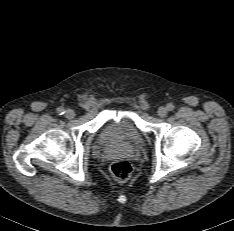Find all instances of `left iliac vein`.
<instances>
[{"label": "left iliac vein", "mask_w": 234, "mask_h": 231, "mask_svg": "<svg viewBox=\"0 0 234 231\" xmlns=\"http://www.w3.org/2000/svg\"><path fill=\"white\" fill-rule=\"evenodd\" d=\"M158 115L160 117H165L167 115V109L165 107H160L158 110Z\"/></svg>", "instance_id": "obj_1"}]
</instances>
